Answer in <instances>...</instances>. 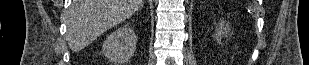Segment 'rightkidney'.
Returning <instances> with one entry per match:
<instances>
[{
	"label": "right kidney",
	"mask_w": 309,
	"mask_h": 65,
	"mask_svg": "<svg viewBox=\"0 0 309 65\" xmlns=\"http://www.w3.org/2000/svg\"><path fill=\"white\" fill-rule=\"evenodd\" d=\"M137 36L133 29L121 27L111 33L102 45V53L115 64L128 62L134 55Z\"/></svg>",
	"instance_id": "obj_1"
}]
</instances>
